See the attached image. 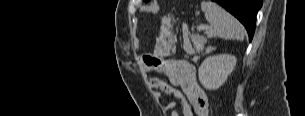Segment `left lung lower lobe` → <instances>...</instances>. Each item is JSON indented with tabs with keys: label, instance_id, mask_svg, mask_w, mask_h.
<instances>
[{
	"label": "left lung lower lobe",
	"instance_id": "obj_1",
	"mask_svg": "<svg viewBox=\"0 0 305 116\" xmlns=\"http://www.w3.org/2000/svg\"><path fill=\"white\" fill-rule=\"evenodd\" d=\"M234 15L246 28L251 41L255 31L256 14L262 0H213Z\"/></svg>",
	"mask_w": 305,
	"mask_h": 116
}]
</instances>
